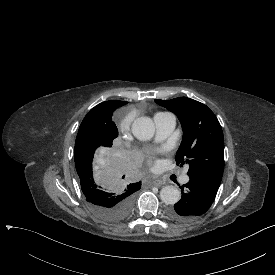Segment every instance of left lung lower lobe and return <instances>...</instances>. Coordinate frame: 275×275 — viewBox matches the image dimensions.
<instances>
[{"label":"left lung lower lobe","instance_id":"0a47b994","mask_svg":"<svg viewBox=\"0 0 275 275\" xmlns=\"http://www.w3.org/2000/svg\"><path fill=\"white\" fill-rule=\"evenodd\" d=\"M180 186V185H179ZM220 184L200 177H190V181L180 186L181 200L167 210L174 221L184 222L200 216L212 205Z\"/></svg>","mask_w":275,"mask_h":275}]
</instances>
